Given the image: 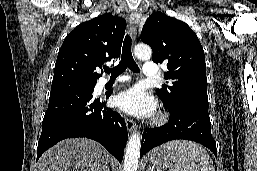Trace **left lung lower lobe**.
Instances as JSON below:
<instances>
[{
    "label": "left lung lower lobe",
    "instance_id": "left-lung-lower-lobe-1",
    "mask_svg": "<svg viewBox=\"0 0 257 171\" xmlns=\"http://www.w3.org/2000/svg\"><path fill=\"white\" fill-rule=\"evenodd\" d=\"M167 108L170 112L167 124L145 129L142 135L140 157L153 147L175 139L198 142L216 155V142L211 134L207 106L187 103Z\"/></svg>",
    "mask_w": 257,
    "mask_h": 171
}]
</instances>
